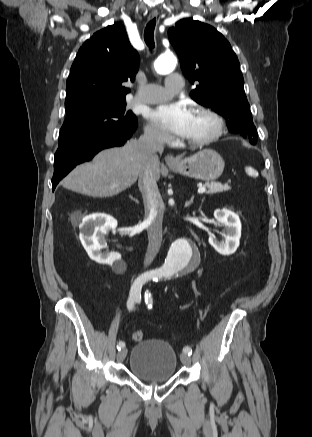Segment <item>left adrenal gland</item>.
Segmentation results:
<instances>
[{
    "label": "left adrenal gland",
    "instance_id": "obj_1",
    "mask_svg": "<svg viewBox=\"0 0 312 437\" xmlns=\"http://www.w3.org/2000/svg\"><path fill=\"white\" fill-rule=\"evenodd\" d=\"M192 203H193V197H191V199L185 203V207H188Z\"/></svg>",
    "mask_w": 312,
    "mask_h": 437
}]
</instances>
